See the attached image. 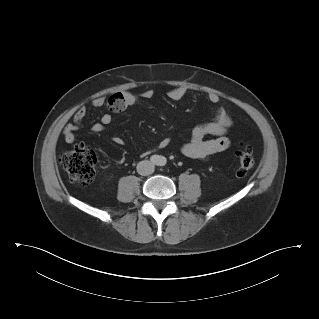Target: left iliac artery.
Here are the masks:
<instances>
[{
    "instance_id": "44dca946",
    "label": "left iliac artery",
    "mask_w": 319,
    "mask_h": 319,
    "mask_svg": "<svg viewBox=\"0 0 319 319\" xmlns=\"http://www.w3.org/2000/svg\"><path fill=\"white\" fill-rule=\"evenodd\" d=\"M166 163H167V160H166L165 157H160V158H159L158 164H159L160 166H164Z\"/></svg>"
}]
</instances>
